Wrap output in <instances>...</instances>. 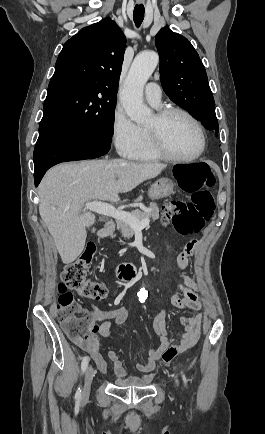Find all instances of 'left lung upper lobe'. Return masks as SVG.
<instances>
[{
  "label": "left lung upper lobe",
  "mask_w": 265,
  "mask_h": 434,
  "mask_svg": "<svg viewBox=\"0 0 265 434\" xmlns=\"http://www.w3.org/2000/svg\"><path fill=\"white\" fill-rule=\"evenodd\" d=\"M160 79L169 98L218 135L215 102L205 68L192 44L167 27L156 35Z\"/></svg>",
  "instance_id": "1"
}]
</instances>
